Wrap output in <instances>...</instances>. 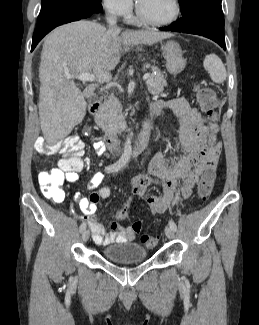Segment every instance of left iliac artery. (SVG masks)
Instances as JSON below:
<instances>
[{
  "instance_id": "left-iliac-artery-1",
  "label": "left iliac artery",
  "mask_w": 259,
  "mask_h": 325,
  "mask_svg": "<svg viewBox=\"0 0 259 325\" xmlns=\"http://www.w3.org/2000/svg\"><path fill=\"white\" fill-rule=\"evenodd\" d=\"M169 225H170V227H171L174 231L177 230V226H176V224H175V222H174L173 220H170V221H169Z\"/></svg>"
}]
</instances>
